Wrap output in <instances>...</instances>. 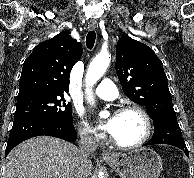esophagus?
Returning <instances> with one entry per match:
<instances>
[{"label":"esophagus","instance_id":"1","mask_svg":"<svg viewBox=\"0 0 194 178\" xmlns=\"http://www.w3.org/2000/svg\"><path fill=\"white\" fill-rule=\"evenodd\" d=\"M88 27L89 29L94 30L97 27V23L95 21H91L89 22ZM102 157L104 159H113L115 155L109 150H104L102 152Z\"/></svg>","mask_w":194,"mask_h":178}]
</instances>
